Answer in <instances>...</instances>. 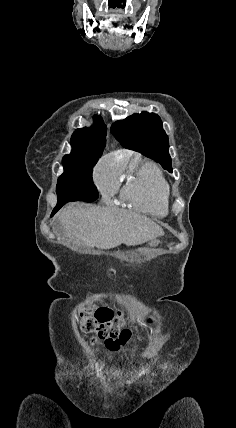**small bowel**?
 Returning a JSON list of instances; mask_svg holds the SVG:
<instances>
[{
  "label": "small bowel",
  "instance_id": "1",
  "mask_svg": "<svg viewBox=\"0 0 236 428\" xmlns=\"http://www.w3.org/2000/svg\"><path fill=\"white\" fill-rule=\"evenodd\" d=\"M128 340H129V339H127V340H126L122 345H124ZM118 347H120V345H119ZM118 347H117V348H118Z\"/></svg>",
  "mask_w": 236,
  "mask_h": 428
}]
</instances>
